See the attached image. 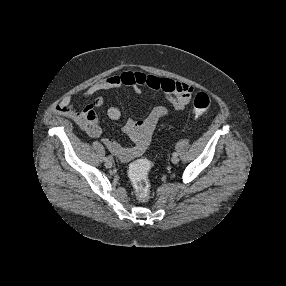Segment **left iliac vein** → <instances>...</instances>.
Instances as JSON below:
<instances>
[{"label": "left iliac vein", "instance_id": "obj_1", "mask_svg": "<svg viewBox=\"0 0 286 286\" xmlns=\"http://www.w3.org/2000/svg\"><path fill=\"white\" fill-rule=\"evenodd\" d=\"M171 161H172V163L176 164L179 162V158L177 156H173Z\"/></svg>", "mask_w": 286, "mask_h": 286}]
</instances>
